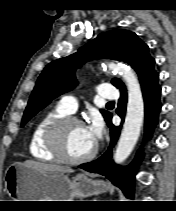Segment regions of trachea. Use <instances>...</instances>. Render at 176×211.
Wrapping results in <instances>:
<instances>
[{"mask_svg":"<svg viewBox=\"0 0 176 211\" xmlns=\"http://www.w3.org/2000/svg\"><path fill=\"white\" fill-rule=\"evenodd\" d=\"M108 104H114V101L108 102Z\"/></svg>","mask_w":176,"mask_h":211,"instance_id":"1","label":"trachea"}]
</instances>
